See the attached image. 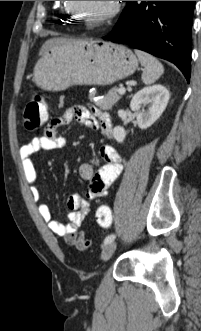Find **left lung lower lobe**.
<instances>
[{"instance_id":"1","label":"left lung lower lobe","mask_w":201,"mask_h":331,"mask_svg":"<svg viewBox=\"0 0 201 331\" xmlns=\"http://www.w3.org/2000/svg\"><path fill=\"white\" fill-rule=\"evenodd\" d=\"M195 1H127L105 40L128 44L174 63L187 81Z\"/></svg>"}]
</instances>
